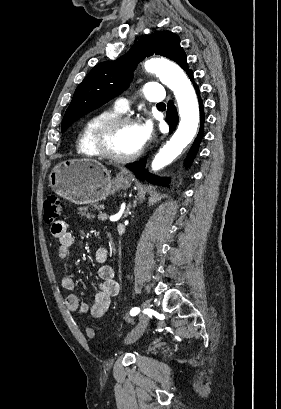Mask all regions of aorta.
<instances>
[{
	"mask_svg": "<svg viewBox=\"0 0 281 409\" xmlns=\"http://www.w3.org/2000/svg\"><path fill=\"white\" fill-rule=\"evenodd\" d=\"M144 67L174 92L180 114L177 130L152 161V170L157 171L175 160L194 138L199 123V105L190 80L178 65L152 58Z\"/></svg>",
	"mask_w": 281,
	"mask_h": 409,
	"instance_id": "1",
	"label": "aorta"
}]
</instances>
